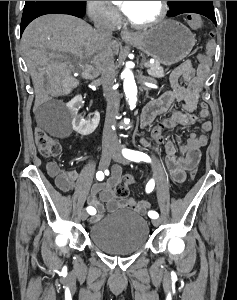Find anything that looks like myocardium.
Instances as JSON below:
<instances>
[{
    "instance_id": "obj_1",
    "label": "myocardium",
    "mask_w": 237,
    "mask_h": 300,
    "mask_svg": "<svg viewBox=\"0 0 237 300\" xmlns=\"http://www.w3.org/2000/svg\"><path fill=\"white\" fill-rule=\"evenodd\" d=\"M159 4H160L159 13L153 20H151L149 22H145V23H139V22L131 20L127 16L128 23L137 29H149V28H153V27L161 24L164 21V19L166 18L167 13H168V1H159Z\"/></svg>"
}]
</instances>
